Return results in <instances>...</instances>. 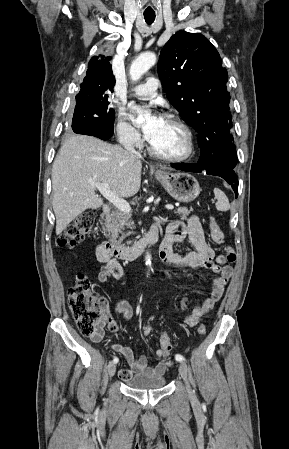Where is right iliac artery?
Returning <instances> with one entry per match:
<instances>
[{
    "label": "right iliac artery",
    "mask_w": 289,
    "mask_h": 449,
    "mask_svg": "<svg viewBox=\"0 0 289 449\" xmlns=\"http://www.w3.org/2000/svg\"><path fill=\"white\" fill-rule=\"evenodd\" d=\"M117 362H118V358L115 357V358L113 359V363H117Z\"/></svg>",
    "instance_id": "82829eb1"
}]
</instances>
